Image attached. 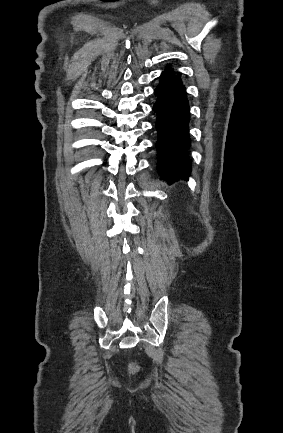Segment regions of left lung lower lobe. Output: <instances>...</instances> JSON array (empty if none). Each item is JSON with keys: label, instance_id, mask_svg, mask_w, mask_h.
<instances>
[{"label": "left lung lower lobe", "instance_id": "0a47b994", "mask_svg": "<svg viewBox=\"0 0 283 433\" xmlns=\"http://www.w3.org/2000/svg\"><path fill=\"white\" fill-rule=\"evenodd\" d=\"M160 80L154 92L157 101L153 106L157 115V170L160 179L170 184L187 179L191 173L187 152L190 146L189 107L185 87L171 68L162 73Z\"/></svg>", "mask_w": 283, "mask_h": 433}]
</instances>
